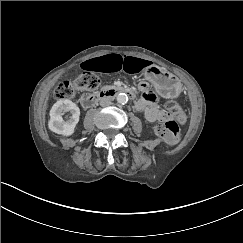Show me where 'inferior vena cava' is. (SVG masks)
<instances>
[{
  "label": "inferior vena cava",
  "mask_w": 243,
  "mask_h": 243,
  "mask_svg": "<svg viewBox=\"0 0 243 243\" xmlns=\"http://www.w3.org/2000/svg\"><path fill=\"white\" fill-rule=\"evenodd\" d=\"M109 105H111V100L108 97H102L100 99V106L107 107Z\"/></svg>",
  "instance_id": "1"
}]
</instances>
